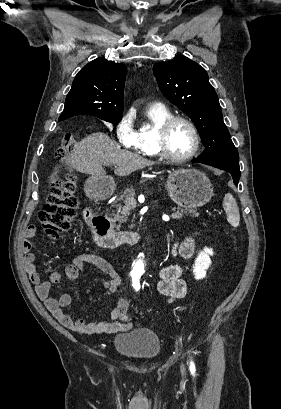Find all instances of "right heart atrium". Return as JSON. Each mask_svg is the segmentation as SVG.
<instances>
[{
  "instance_id": "d8ad5b80",
  "label": "right heart atrium",
  "mask_w": 281,
  "mask_h": 409,
  "mask_svg": "<svg viewBox=\"0 0 281 409\" xmlns=\"http://www.w3.org/2000/svg\"><path fill=\"white\" fill-rule=\"evenodd\" d=\"M116 137L126 148H132L135 140V131L132 119H120L115 126Z\"/></svg>"
}]
</instances>
